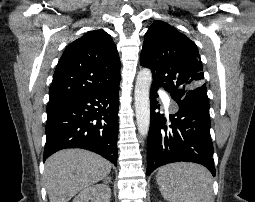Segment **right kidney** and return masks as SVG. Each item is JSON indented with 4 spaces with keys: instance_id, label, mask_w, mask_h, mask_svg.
<instances>
[{
    "instance_id": "obj_1",
    "label": "right kidney",
    "mask_w": 255,
    "mask_h": 202,
    "mask_svg": "<svg viewBox=\"0 0 255 202\" xmlns=\"http://www.w3.org/2000/svg\"><path fill=\"white\" fill-rule=\"evenodd\" d=\"M111 189L106 184H97L81 191L72 202H110Z\"/></svg>"
}]
</instances>
